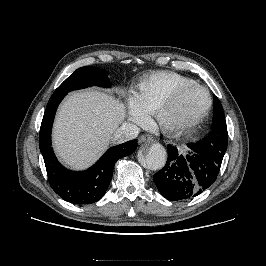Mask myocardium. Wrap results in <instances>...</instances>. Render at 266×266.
I'll return each mask as SVG.
<instances>
[{
    "instance_id": "f54148a6",
    "label": "myocardium",
    "mask_w": 266,
    "mask_h": 266,
    "mask_svg": "<svg viewBox=\"0 0 266 266\" xmlns=\"http://www.w3.org/2000/svg\"><path fill=\"white\" fill-rule=\"evenodd\" d=\"M198 88L205 92L207 104L204 110L197 116L181 121H171L168 116L175 107L180 97L189 89ZM212 107V97L209 90L196 82L175 89L158 108L155 117L159 127L166 132H184L200 123L209 113Z\"/></svg>"
}]
</instances>
